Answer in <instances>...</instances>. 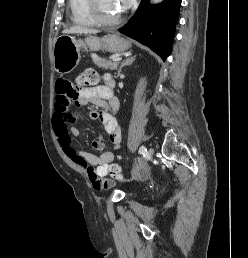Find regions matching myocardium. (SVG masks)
I'll return each instance as SVG.
<instances>
[{"instance_id":"myocardium-1","label":"myocardium","mask_w":248,"mask_h":258,"mask_svg":"<svg viewBox=\"0 0 248 258\" xmlns=\"http://www.w3.org/2000/svg\"><path fill=\"white\" fill-rule=\"evenodd\" d=\"M87 10L94 23L99 25H115L122 20V16L112 19L102 17L99 12V0H87Z\"/></svg>"}]
</instances>
